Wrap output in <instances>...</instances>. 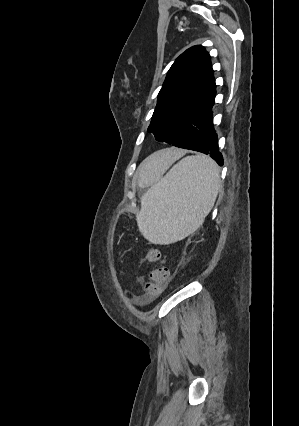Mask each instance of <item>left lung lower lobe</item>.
<instances>
[{"label": "left lung lower lobe", "mask_w": 299, "mask_h": 426, "mask_svg": "<svg viewBox=\"0 0 299 426\" xmlns=\"http://www.w3.org/2000/svg\"><path fill=\"white\" fill-rule=\"evenodd\" d=\"M214 99L215 97L189 120L170 144L179 148L210 154L218 165L222 166L223 157L219 152L217 134L212 123L211 110Z\"/></svg>", "instance_id": "obj_1"}]
</instances>
